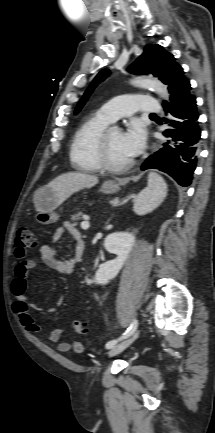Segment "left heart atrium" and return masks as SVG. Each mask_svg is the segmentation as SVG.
<instances>
[{
	"instance_id": "obj_1",
	"label": "left heart atrium",
	"mask_w": 215,
	"mask_h": 433,
	"mask_svg": "<svg viewBox=\"0 0 215 433\" xmlns=\"http://www.w3.org/2000/svg\"><path fill=\"white\" fill-rule=\"evenodd\" d=\"M122 146L130 157L138 155L145 143V132L139 123H133L122 133Z\"/></svg>"
}]
</instances>
